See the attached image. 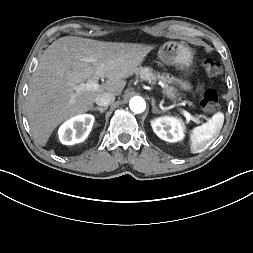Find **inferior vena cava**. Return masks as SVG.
I'll use <instances>...</instances> for the list:
<instances>
[{"instance_id":"inferior-vena-cava-1","label":"inferior vena cava","mask_w":253,"mask_h":253,"mask_svg":"<svg viewBox=\"0 0 253 253\" xmlns=\"http://www.w3.org/2000/svg\"><path fill=\"white\" fill-rule=\"evenodd\" d=\"M114 100H115V96L112 93L105 92L96 96L95 103L98 106L107 107L109 106V104L114 102Z\"/></svg>"}]
</instances>
